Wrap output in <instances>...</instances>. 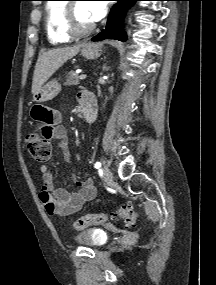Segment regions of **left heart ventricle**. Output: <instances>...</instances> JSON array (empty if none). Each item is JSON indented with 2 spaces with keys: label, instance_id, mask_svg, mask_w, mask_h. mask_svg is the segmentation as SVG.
Returning a JSON list of instances; mask_svg holds the SVG:
<instances>
[{
  "label": "left heart ventricle",
  "instance_id": "left-heart-ventricle-1",
  "mask_svg": "<svg viewBox=\"0 0 216 285\" xmlns=\"http://www.w3.org/2000/svg\"><path fill=\"white\" fill-rule=\"evenodd\" d=\"M75 16H76L78 24L81 27H88L93 24V22H91V20L88 17V14L86 11V3L84 2L75 3Z\"/></svg>",
  "mask_w": 216,
  "mask_h": 285
}]
</instances>
